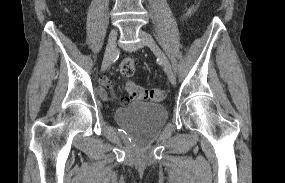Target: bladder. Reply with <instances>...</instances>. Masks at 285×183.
I'll use <instances>...</instances> for the list:
<instances>
[{"instance_id":"bladder-1","label":"bladder","mask_w":285,"mask_h":183,"mask_svg":"<svg viewBox=\"0 0 285 183\" xmlns=\"http://www.w3.org/2000/svg\"><path fill=\"white\" fill-rule=\"evenodd\" d=\"M114 117L120 125L149 134L164 125L167 110L162 104L139 102L117 108Z\"/></svg>"}]
</instances>
